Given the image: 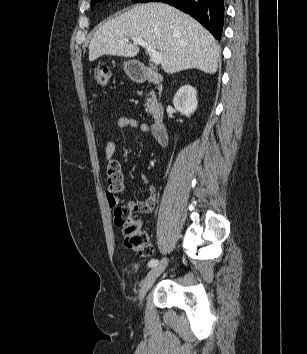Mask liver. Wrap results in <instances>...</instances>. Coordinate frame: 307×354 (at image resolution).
I'll return each instance as SVG.
<instances>
[{"instance_id":"6515ba94","label":"liver","mask_w":307,"mask_h":354,"mask_svg":"<svg viewBox=\"0 0 307 354\" xmlns=\"http://www.w3.org/2000/svg\"><path fill=\"white\" fill-rule=\"evenodd\" d=\"M132 37L142 38L162 54L166 73L193 68L209 74L217 71L220 47L212 34L182 11L153 2L137 4L104 23L91 39L89 61L103 55L135 57L138 46L124 41Z\"/></svg>"}]
</instances>
